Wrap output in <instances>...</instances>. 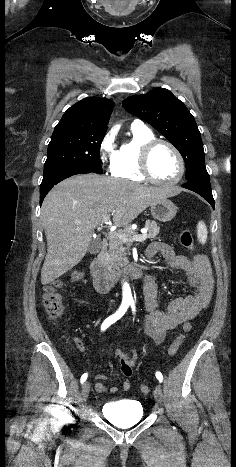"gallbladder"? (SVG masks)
<instances>
[{"instance_id":"1","label":"gallbladder","mask_w":236,"mask_h":467,"mask_svg":"<svg viewBox=\"0 0 236 467\" xmlns=\"http://www.w3.org/2000/svg\"><path fill=\"white\" fill-rule=\"evenodd\" d=\"M100 246H101V241L100 239H93L89 245V248H88V251L91 253V254H96L99 252L100 250Z\"/></svg>"}]
</instances>
